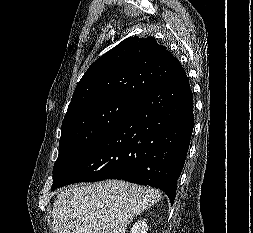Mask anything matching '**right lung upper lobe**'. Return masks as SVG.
<instances>
[{"label":"right lung upper lobe","mask_w":253,"mask_h":233,"mask_svg":"<svg viewBox=\"0 0 253 233\" xmlns=\"http://www.w3.org/2000/svg\"><path fill=\"white\" fill-rule=\"evenodd\" d=\"M180 70L178 59L153 37L127 38L88 68L77 84L66 115L109 98L136 100Z\"/></svg>","instance_id":"obj_1"}]
</instances>
